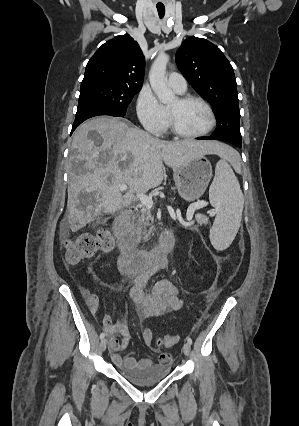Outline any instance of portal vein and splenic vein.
Instances as JSON below:
<instances>
[{"label":"portal vein and splenic vein","instance_id":"obj_1","mask_svg":"<svg viewBox=\"0 0 299 426\" xmlns=\"http://www.w3.org/2000/svg\"><path fill=\"white\" fill-rule=\"evenodd\" d=\"M118 187L121 191L128 190V186L126 184H120ZM136 195L143 205L147 206L148 208H151L153 206V200H152L151 197L145 195L144 193H137ZM205 206H207V203L205 201H198V202L190 204L188 211H187V220L191 221L192 218H193L194 212L196 210L200 209V208L205 207ZM167 208H168V211L171 215V218L173 220H176L177 217H176V214H175L174 210L172 209V207L168 206Z\"/></svg>","mask_w":299,"mask_h":426}]
</instances>
